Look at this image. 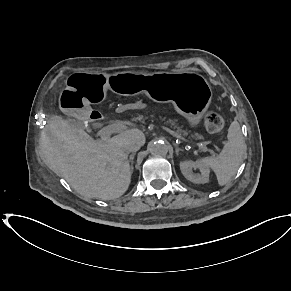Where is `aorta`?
<instances>
[{
  "instance_id": "1",
  "label": "aorta",
  "mask_w": 291,
  "mask_h": 291,
  "mask_svg": "<svg viewBox=\"0 0 291 291\" xmlns=\"http://www.w3.org/2000/svg\"><path fill=\"white\" fill-rule=\"evenodd\" d=\"M168 149V145L162 141H154L149 145L150 153L155 156H165Z\"/></svg>"
}]
</instances>
